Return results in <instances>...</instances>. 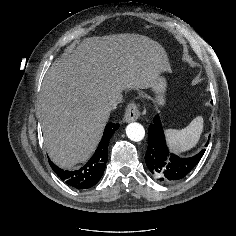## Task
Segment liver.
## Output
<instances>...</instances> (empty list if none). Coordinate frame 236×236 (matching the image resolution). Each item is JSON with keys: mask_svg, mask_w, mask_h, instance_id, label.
<instances>
[{"mask_svg": "<svg viewBox=\"0 0 236 236\" xmlns=\"http://www.w3.org/2000/svg\"><path fill=\"white\" fill-rule=\"evenodd\" d=\"M170 71L156 41L138 34L84 39L47 71L39 96L44 143L51 160L70 169L98 145L112 108L126 89L153 88Z\"/></svg>", "mask_w": 236, "mask_h": 236, "instance_id": "6515ba94", "label": "liver"}]
</instances>
